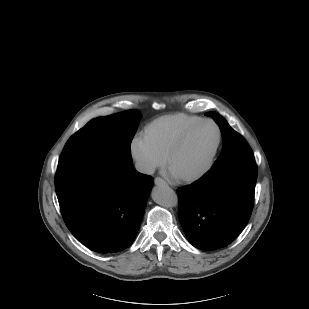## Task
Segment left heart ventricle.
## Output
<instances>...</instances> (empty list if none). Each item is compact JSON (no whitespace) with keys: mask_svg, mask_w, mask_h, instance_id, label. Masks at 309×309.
I'll use <instances>...</instances> for the list:
<instances>
[{"mask_svg":"<svg viewBox=\"0 0 309 309\" xmlns=\"http://www.w3.org/2000/svg\"><path fill=\"white\" fill-rule=\"evenodd\" d=\"M218 140L214 125L199 126L173 156L168 167L177 177L200 172L209 162Z\"/></svg>","mask_w":309,"mask_h":309,"instance_id":"b2bd125f","label":"left heart ventricle"}]
</instances>
